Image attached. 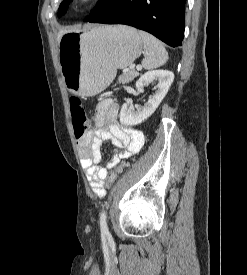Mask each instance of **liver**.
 Returning a JSON list of instances; mask_svg holds the SVG:
<instances>
[{
  "label": "liver",
  "mask_w": 247,
  "mask_h": 275,
  "mask_svg": "<svg viewBox=\"0 0 247 275\" xmlns=\"http://www.w3.org/2000/svg\"><path fill=\"white\" fill-rule=\"evenodd\" d=\"M67 32H68V31H66V30H62V31H60V32L58 33V37H57L58 43H59V41H60L62 35L65 34V33H67Z\"/></svg>",
  "instance_id": "1"
}]
</instances>
